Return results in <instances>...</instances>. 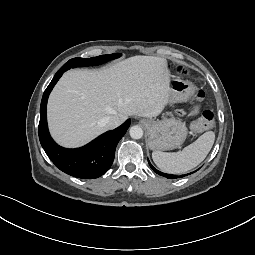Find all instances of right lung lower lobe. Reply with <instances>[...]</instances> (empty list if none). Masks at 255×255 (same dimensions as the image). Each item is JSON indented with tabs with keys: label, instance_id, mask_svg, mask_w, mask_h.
Here are the masks:
<instances>
[{
	"label": "right lung lower lobe",
	"instance_id": "1",
	"mask_svg": "<svg viewBox=\"0 0 255 255\" xmlns=\"http://www.w3.org/2000/svg\"><path fill=\"white\" fill-rule=\"evenodd\" d=\"M67 70L68 67L62 66L43 94L38 128L40 143L50 160L61 171L77 178H98L111 167L116 146L129 128L130 119L126 120L118 128L100 135L84 147L65 149L57 145L48 131L46 105L51 90Z\"/></svg>",
	"mask_w": 255,
	"mask_h": 255
}]
</instances>
